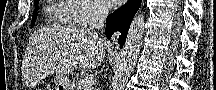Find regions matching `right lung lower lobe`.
<instances>
[{
	"label": "right lung lower lobe",
	"instance_id": "1",
	"mask_svg": "<svg viewBox=\"0 0 216 90\" xmlns=\"http://www.w3.org/2000/svg\"><path fill=\"white\" fill-rule=\"evenodd\" d=\"M140 4L141 0H129L125 6H122L107 17L105 34L107 38L110 39L114 32L120 31V47H122L125 43V38L127 36L131 21L135 13L138 11Z\"/></svg>",
	"mask_w": 216,
	"mask_h": 90
}]
</instances>
